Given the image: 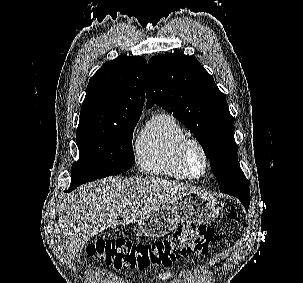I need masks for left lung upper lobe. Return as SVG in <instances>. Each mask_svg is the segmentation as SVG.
I'll list each match as a JSON object with an SVG mask.
<instances>
[{"instance_id": "left-lung-upper-lobe-1", "label": "left lung upper lobe", "mask_w": 303, "mask_h": 283, "mask_svg": "<svg viewBox=\"0 0 303 283\" xmlns=\"http://www.w3.org/2000/svg\"><path fill=\"white\" fill-rule=\"evenodd\" d=\"M147 107H162L183 123L210 160L220 190L250 196L248 181L237 157L233 117L225 95L193 57L171 53L148 62Z\"/></svg>"}]
</instances>
